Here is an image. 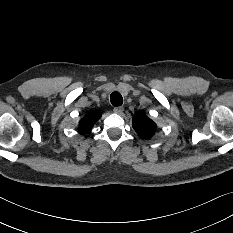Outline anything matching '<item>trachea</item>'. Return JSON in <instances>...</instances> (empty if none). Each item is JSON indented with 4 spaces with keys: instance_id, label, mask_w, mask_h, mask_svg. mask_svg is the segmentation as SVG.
Segmentation results:
<instances>
[{
    "instance_id": "3493384b",
    "label": "trachea",
    "mask_w": 233,
    "mask_h": 233,
    "mask_svg": "<svg viewBox=\"0 0 233 233\" xmlns=\"http://www.w3.org/2000/svg\"><path fill=\"white\" fill-rule=\"evenodd\" d=\"M110 100L113 106L117 107L122 105L123 99L120 93L118 92H113L110 96Z\"/></svg>"
}]
</instances>
